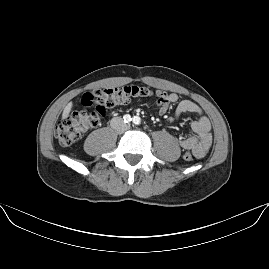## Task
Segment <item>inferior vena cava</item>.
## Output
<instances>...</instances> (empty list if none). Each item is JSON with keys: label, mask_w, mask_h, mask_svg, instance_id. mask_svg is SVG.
Here are the masks:
<instances>
[{"label": "inferior vena cava", "mask_w": 269, "mask_h": 269, "mask_svg": "<svg viewBox=\"0 0 269 269\" xmlns=\"http://www.w3.org/2000/svg\"><path fill=\"white\" fill-rule=\"evenodd\" d=\"M110 125L113 129L120 131V132H124L130 128V126L128 124L124 123L122 118H120V117H114L111 120Z\"/></svg>", "instance_id": "1"}]
</instances>
